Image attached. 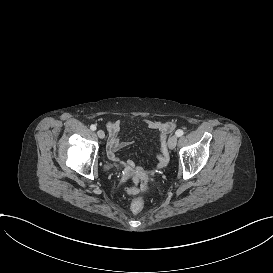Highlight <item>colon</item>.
I'll use <instances>...</instances> for the list:
<instances>
[{"label": "colon", "mask_w": 273, "mask_h": 273, "mask_svg": "<svg viewBox=\"0 0 273 273\" xmlns=\"http://www.w3.org/2000/svg\"><path fill=\"white\" fill-rule=\"evenodd\" d=\"M146 205V200L144 198L136 199L131 203L129 206V211L131 213L137 214L139 213L140 209Z\"/></svg>", "instance_id": "1"}]
</instances>
